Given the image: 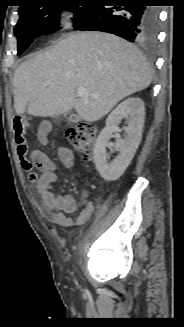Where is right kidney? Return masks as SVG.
I'll use <instances>...</instances> for the list:
<instances>
[{"instance_id":"obj_1","label":"right kidney","mask_w":184,"mask_h":327,"mask_svg":"<svg viewBox=\"0 0 184 327\" xmlns=\"http://www.w3.org/2000/svg\"><path fill=\"white\" fill-rule=\"evenodd\" d=\"M126 119V135L123 139L117 137L115 148L119 154L112 162H108L106 152L112 133L119 130V123ZM144 102L139 97H131L121 102L108 116L106 126L101 131L94 145V162L100 175L106 181L118 179L131 163L141 142L144 126Z\"/></svg>"}]
</instances>
